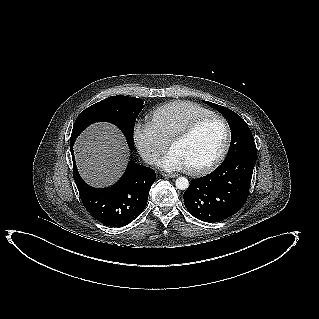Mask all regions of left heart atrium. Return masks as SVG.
<instances>
[{
	"label": "left heart atrium",
	"instance_id": "39dd6f15",
	"mask_svg": "<svg viewBox=\"0 0 319 319\" xmlns=\"http://www.w3.org/2000/svg\"><path fill=\"white\" fill-rule=\"evenodd\" d=\"M158 165L169 171L182 170L186 168L182 158L172 149L158 161Z\"/></svg>",
	"mask_w": 319,
	"mask_h": 319
}]
</instances>
